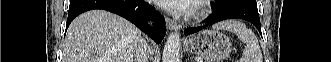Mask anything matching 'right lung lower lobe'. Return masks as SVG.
I'll return each mask as SVG.
<instances>
[{
  "instance_id": "obj_1",
  "label": "right lung lower lobe",
  "mask_w": 331,
  "mask_h": 62,
  "mask_svg": "<svg viewBox=\"0 0 331 62\" xmlns=\"http://www.w3.org/2000/svg\"><path fill=\"white\" fill-rule=\"evenodd\" d=\"M102 9L118 14L146 33L156 43H161L166 33L165 19L144 0H71L66 27L83 12ZM148 20L154 21L153 27Z\"/></svg>"
}]
</instances>
